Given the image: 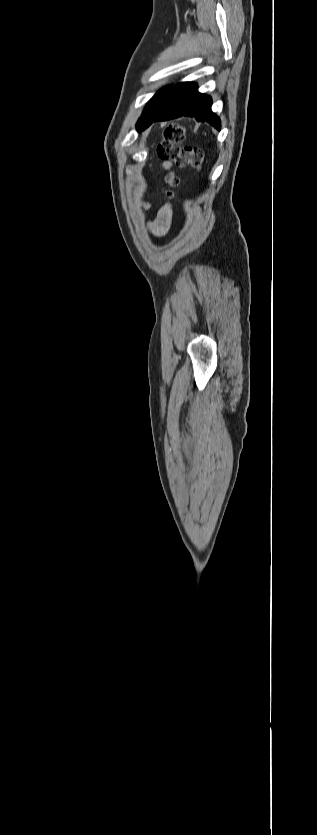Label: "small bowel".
<instances>
[{
    "instance_id": "c3829d8e",
    "label": "small bowel",
    "mask_w": 317,
    "mask_h": 835,
    "mask_svg": "<svg viewBox=\"0 0 317 835\" xmlns=\"http://www.w3.org/2000/svg\"><path fill=\"white\" fill-rule=\"evenodd\" d=\"M162 167L164 169H169L171 167V163L170 162H164L162 164ZM144 207L146 209H148L150 207V205L147 203V204H145ZM171 222H172V213H171L170 209L167 208V207L162 208L159 211V213H158V215H157V217L154 220V223L152 225L153 233L156 236H164L168 232V230L171 226Z\"/></svg>"
}]
</instances>
